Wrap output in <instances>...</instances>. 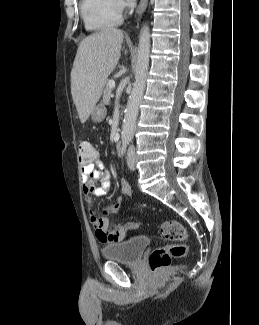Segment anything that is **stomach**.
<instances>
[{"instance_id":"0dacf381","label":"stomach","mask_w":259,"mask_h":325,"mask_svg":"<svg viewBox=\"0 0 259 325\" xmlns=\"http://www.w3.org/2000/svg\"><path fill=\"white\" fill-rule=\"evenodd\" d=\"M106 116L105 106L100 103L95 105L91 112V118L94 122H101Z\"/></svg>"}]
</instances>
